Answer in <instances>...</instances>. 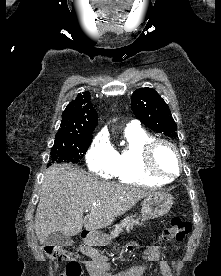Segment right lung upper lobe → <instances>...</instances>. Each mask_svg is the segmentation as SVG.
<instances>
[{
  "label": "right lung upper lobe",
  "mask_w": 221,
  "mask_h": 276,
  "mask_svg": "<svg viewBox=\"0 0 221 276\" xmlns=\"http://www.w3.org/2000/svg\"><path fill=\"white\" fill-rule=\"evenodd\" d=\"M98 115L90 102L88 91L78 94L62 113V123L55 141L92 138Z\"/></svg>",
  "instance_id": "obj_1"
}]
</instances>
